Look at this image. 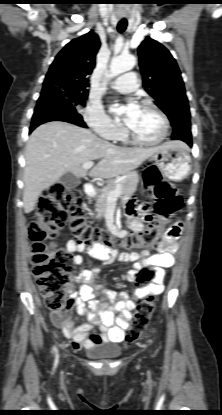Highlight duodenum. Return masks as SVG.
Here are the masks:
<instances>
[{
    "instance_id": "obj_1",
    "label": "duodenum",
    "mask_w": 222,
    "mask_h": 415,
    "mask_svg": "<svg viewBox=\"0 0 222 415\" xmlns=\"http://www.w3.org/2000/svg\"><path fill=\"white\" fill-rule=\"evenodd\" d=\"M85 194L87 196L86 206H88L89 201L94 197V188L91 185H87L85 187ZM106 251L104 248H97L93 250V253L98 256H104L107 255Z\"/></svg>"
}]
</instances>
